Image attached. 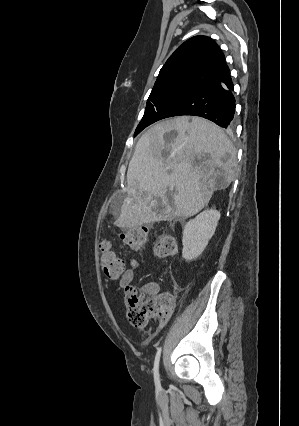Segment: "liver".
Here are the masks:
<instances>
[{
  "instance_id": "1",
  "label": "liver",
  "mask_w": 299,
  "mask_h": 426,
  "mask_svg": "<svg viewBox=\"0 0 299 426\" xmlns=\"http://www.w3.org/2000/svg\"><path fill=\"white\" fill-rule=\"evenodd\" d=\"M172 130L177 136L167 140ZM235 154L223 129L207 119L180 116L155 124L136 144L114 224L130 229L197 214L235 179Z\"/></svg>"
}]
</instances>
